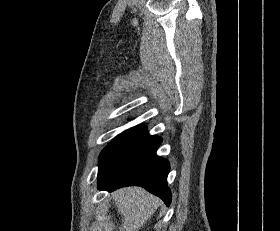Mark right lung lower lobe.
Listing matches in <instances>:
<instances>
[{
    "instance_id": "1",
    "label": "right lung lower lobe",
    "mask_w": 280,
    "mask_h": 231,
    "mask_svg": "<svg viewBox=\"0 0 280 231\" xmlns=\"http://www.w3.org/2000/svg\"><path fill=\"white\" fill-rule=\"evenodd\" d=\"M161 138L148 134L144 126L133 127L115 138L99 157L98 189L113 191L124 186H141L160 197L167 206L170 166L157 156Z\"/></svg>"
}]
</instances>
